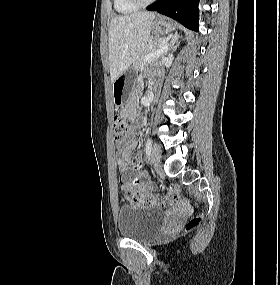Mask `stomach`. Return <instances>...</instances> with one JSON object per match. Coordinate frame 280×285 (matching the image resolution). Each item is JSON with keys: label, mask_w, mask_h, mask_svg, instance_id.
<instances>
[{"label": "stomach", "mask_w": 280, "mask_h": 285, "mask_svg": "<svg viewBox=\"0 0 280 285\" xmlns=\"http://www.w3.org/2000/svg\"><path fill=\"white\" fill-rule=\"evenodd\" d=\"M152 33L156 36L165 35L173 31V24L163 17H160L152 24ZM130 73L125 72L113 83V100L116 106L125 105L129 100Z\"/></svg>", "instance_id": "stomach-1"}]
</instances>
